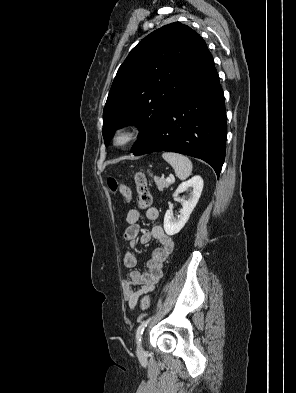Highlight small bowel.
<instances>
[{"instance_id": "1", "label": "small bowel", "mask_w": 296, "mask_h": 393, "mask_svg": "<svg viewBox=\"0 0 296 393\" xmlns=\"http://www.w3.org/2000/svg\"><path fill=\"white\" fill-rule=\"evenodd\" d=\"M159 211L155 207H150L146 211V218L150 221L157 220ZM141 214L137 209L128 211L126 221L128 227L124 232V239L130 243L132 249L137 245L139 239L141 244H148L151 240H156L159 247L154 249L147 261V272L141 273L134 268L138 259L133 251H127L123 256V264L132 269L129 278L123 282L125 299L130 309H134L138 298L150 291H153L156 283L163 273V263L174 249L173 239L167 235L159 225L153 226L149 231H144L139 225Z\"/></svg>"}]
</instances>
